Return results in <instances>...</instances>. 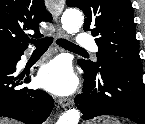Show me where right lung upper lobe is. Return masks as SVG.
Returning <instances> with one entry per match:
<instances>
[{"label": "right lung upper lobe", "mask_w": 145, "mask_h": 124, "mask_svg": "<svg viewBox=\"0 0 145 124\" xmlns=\"http://www.w3.org/2000/svg\"><path fill=\"white\" fill-rule=\"evenodd\" d=\"M51 20L44 0H0V52H23L28 47L26 31L33 30L30 36L40 38L39 24Z\"/></svg>", "instance_id": "obj_1"}]
</instances>
